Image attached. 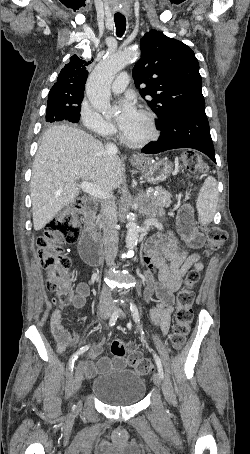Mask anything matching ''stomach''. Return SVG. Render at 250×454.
Segmentation results:
<instances>
[{
  "instance_id": "1",
  "label": "stomach",
  "mask_w": 250,
  "mask_h": 454,
  "mask_svg": "<svg viewBox=\"0 0 250 454\" xmlns=\"http://www.w3.org/2000/svg\"><path fill=\"white\" fill-rule=\"evenodd\" d=\"M131 164L140 170L146 179L152 183L163 181L175 171L173 163L167 158L155 161L150 157L139 155L131 159Z\"/></svg>"
}]
</instances>
